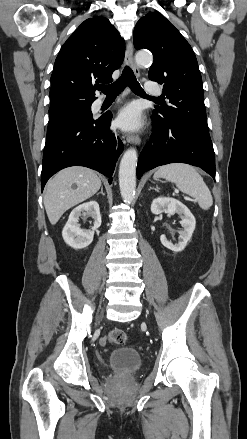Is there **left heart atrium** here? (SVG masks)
Returning a JSON list of instances; mask_svg holds the SVG:
<instances>
[{"instance_id": "left-heart-atrium-1", "label": "left heart atrium", "mask_w": 247, "mask_h": 439, "mask_svg": "<svg viewBox=\"0 0 247 439\" xmlns=\"http://www.w3.org/2000/svg\"><path fill=\"white\" fill-rule=\"evenodd\" d=\"M117 125L123 130H137L143 125L140 108L136 104H129L118 114Z\"/></svg>"}]
</instances>
